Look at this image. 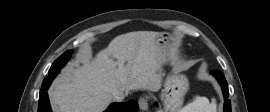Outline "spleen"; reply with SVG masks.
<instances>
[{"label":"spleen","instance_id":"spleen-1","mask_svg":"<svg viewBox=\"0 0 270 112\" xmlns=\"http://www.w3.org/2000/svg\"><path fill=\"white\" fill-rule=\"evenodd\" d=\"M216 107V100L214 98L210 103L207 97L196 96L192 102L173 112H216Z\"/></svg>","mask_w":270,"mask_h":112}]
</instances>
